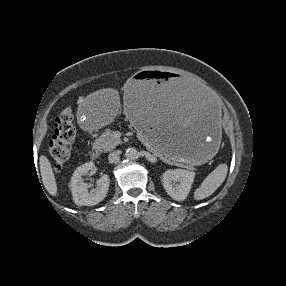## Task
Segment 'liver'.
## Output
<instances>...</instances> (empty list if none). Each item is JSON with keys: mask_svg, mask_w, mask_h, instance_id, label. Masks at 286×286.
I'll use <instances>...</instances> for the list:
<instances>
[{"mask_svg": "<svg viewBox=\"0 0 286 286\" xmlns=\"http://www.w3.org/2000/svg\"><path fill=\"white\" fill-rule=\"evenodd\" d=\"M124 90L126 91V87L124 88ZM107 93L116 98L118 96V92L116 90L108 91ZM39 165L41 178L45 189L52 196H56L58 188L55 179V174L53 172L50 161L46 156L42 155L39 159Z\"/></svg>", "mask_w": 286, "mask_h": 286, "instance_id": "obj_1", "label": "liver"}]
</instances>
